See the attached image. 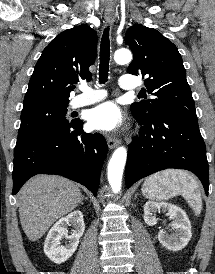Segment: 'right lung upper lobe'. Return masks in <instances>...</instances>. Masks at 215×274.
<instances>
[{
	"instance_id": "cb5924a9",
	"label": "right lung upper lobe",
	"mask_w": 215,
	"mask_h": 274,
	"mask_svg": "<svg viewBox=\"0 0 215 274\" xmlns=\"http://www.w3.org/2000/svg\"><path fill=\"white\" fill-rule=\"evenodd\" d=\"M97 35L87 25L67 29L43 50L35 65L23 108L43 103H69L70 92L80 79L90 81Z\"/></svg>"
}]
</instances>
